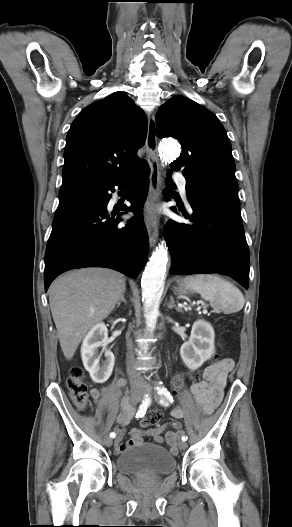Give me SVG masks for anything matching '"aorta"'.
<instances>
[{
    "label": "aorta",
    "mask_w": 292,
    "mask_h": 527,
    "mask_svg": "<svg viewBox=\"0 0 292 527\" xmlns=\"http://www.w3.org/2000/svg\"><path fill=\"white\" fill-rule=\"evenodd\" d=\"M180 151L179 143L174 140H165L160 145V153L163 159L168 161L176 159ZM167 261V249L163 244L159 245L152 253L142 274V300L145 309L146 325L149 328H153L156 325Z\"/></svg>",
    "instance_id": "aorta-1"
}]
</instances>
